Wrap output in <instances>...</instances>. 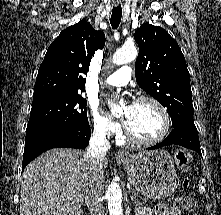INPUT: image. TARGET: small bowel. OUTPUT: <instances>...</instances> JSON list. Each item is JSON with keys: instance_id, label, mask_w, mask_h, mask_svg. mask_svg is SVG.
Listing matches in <instances>:
<instances>
[{"instance_id": "small-bowel-1", "label": "small bowel", "mask_w": 221, "mask_h": 215, "mask_svg": "<svg viewBox=\"0 0 221 215\" xmlns=\"http://www.w3.org/2000/svg\"><path fill=\"white\" fill-rule=\"evenodd\" d=\"M136 215H181V211L176 207L160 204L154 208L140 207L137 209Z\"/></svg>"}]
</instances>
